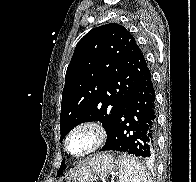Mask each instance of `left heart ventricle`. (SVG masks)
<instances>
[{
    "label": "left heart ventricle",
    "instance_id": "left-heart-ventricle-1",
    "mask_svg": "<svg viewBox=\"0 0 196 182\" xmlns=\"http://www.w3.org/2000/svg\"><path fill=\"white\" fill-rule=\"evenodd\" d=\"M92 142V136L88 132L76 133L69 142L72 153L79 154L85 151Z\"/></svg>",
    "mask_w": 196,
    "mask_h": 182
}]
</instances>
